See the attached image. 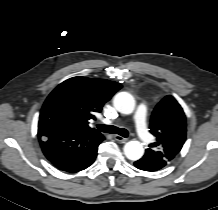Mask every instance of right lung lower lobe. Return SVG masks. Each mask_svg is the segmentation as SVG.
Returning <instances> with one entry per match:
<instances>
[{"instance_id":"right-lung-lower-lobe-1","label":"right lung lower lobe","mask_w":218,"mask_h":210,"mask_svg":"<svg viewBox=\"0 0 218 210\" xmlns=\"http://www.w3.org/2000/svg\"><path fill=\"white\" fill-rule=\"evenodd\" d=\"M38 138L46 158L58 169L75 173L95 161L101 133H82L67 129L38 128Z\"/></svg>"}]
</instances>
